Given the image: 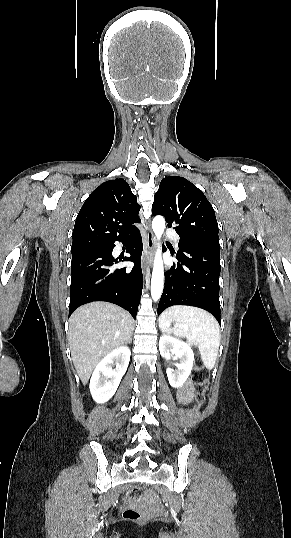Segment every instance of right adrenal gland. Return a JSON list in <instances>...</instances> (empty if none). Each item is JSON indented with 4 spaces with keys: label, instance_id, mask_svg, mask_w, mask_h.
<instances>
[{
    "label": "right adrenal gland",
    "instance_id": "obj_1",
    "mask_svg": "<svg viewBox=\"0 0 291 538\" xmlns=\"http://www.w3.org/2000/svg\"><path fill=\"white\" fill-rule=\"evenodd\" d=\"M128 343H129V344H131V343H132V337H131V338L129 339Z\"/></svg>",
    "mask_w": 291,
    "mask_h": 538
}]
</instances>
